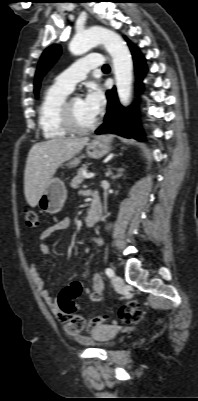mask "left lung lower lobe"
Masks as SVG:
<instances>
[{
  "label": "left lung lower lobe",
  "instance_id": "0a47b994",
  "mask_svg": "<svg viewBox=\"0 0 198 401\" xmlns=\"http://www.w3.org/2000/svg\"><path fill=\"white\" fill-rule=\"evenodd\" d=\"M135 63L138 80L141 81L146 72L145 61L139 50L128 41ZM108 108L104 123L96 130V134L110 132L126 138H135L143 141L144 135L138 125L134 109L123 108L117 98L116 90L107 91Z\"/></svg>",
  "mask_w": 198,
  "mask_h": 401
}]
</instances>
